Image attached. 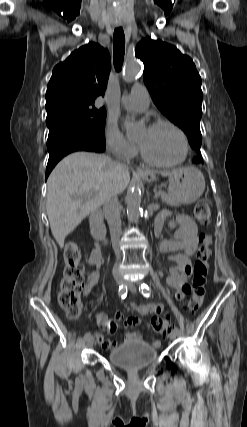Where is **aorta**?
<instances>
[{
	"instance_id": "aorta-1",
	"label": "aorta",
	"mask_w": 247,
	"mask_h": 427,
	"mask_svg": "<svg viewBox=\"0 0 247 427\" xmlns=\"http://www.w3.org/2000/svg\"><path fill=\"white\" fill-rule=\"evenodd\" d=\"M141 70L140 62L136 59H128L123 73V79L126 82L135 80ZM124 128L128 136H133L138 131V125L131 119L124 120ZM142 193L139 188H133L127 197V215L133 221L137 222L141 213Z\"/></svg>"
}]
</instances>
